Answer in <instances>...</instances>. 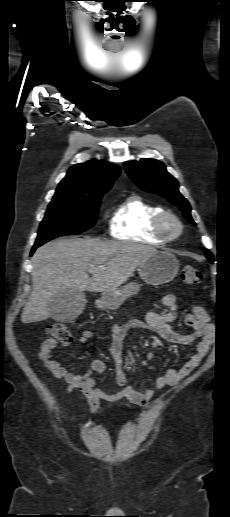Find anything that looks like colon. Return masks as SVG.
<instances>
[{
  "instance_id": "5ec220e1",
  "label": "colon",
  "mask_w": 230,
  "mask_h": 517,
  "mask_svg": "<svg viewBox=\"0 0 230 517\" xmlns=\"http://www.w3.org/2000/svg\"><path fill=\"white\" fill-rule=\"evenodd\" d=\"M182 280L189 285L199 284L202 281V272L193 267L185 266L181 271ZM47 333L54 339L62 342L69 343L73 341V335L70 329L63 323H53L48 326Z\"/></svg>"
}]
</instances>
